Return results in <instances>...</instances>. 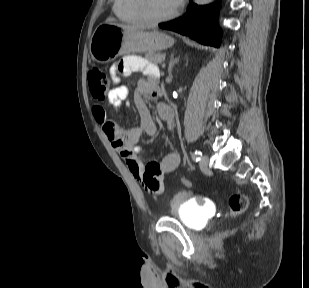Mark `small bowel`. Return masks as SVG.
<instances>
[{
	"label": "small bowel",
	"instance_id": "small-bowel-1",
	"mask_svg": "<svg viewBox=\"0 0 309 288\" xmlns=\"http://www.w3.org/2000/svg\"><path fill=\"white\" fill-rule=\"evenodd\" d=\"M110 71L114 83H119L122 75L130 74L133 71H140L146 75L145 78L138 81L133 98L139 115V126L124 130L107 118L102 106H95L93 115L102 126L113 149L123 158L133 178L139 181L147 192L160 194L163 192L166 176L178 167L180 157L176 152H169L161 160H152L147 164L142 163L139 159L142 149L138 142L142 135L149 134L159 137L158 129L144 99V96L154 98L160 95L157 68L141 57L128 55L115 63ZM129 92V88L125 85L113 88L108 95L109 104L116 111L120 110L122 106L129 107ZM157 112L159 117L167 124L168 130L171 131L175 119L173 108L167 104L159 103Z\"/></svg>",
	"mask_w": 309,
	"mask_h": 288
}]
</instances>
